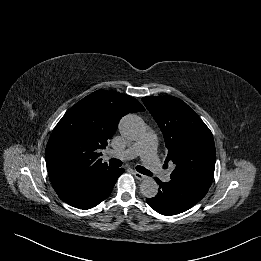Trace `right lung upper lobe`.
Returning <instances> with one entry per match:
<instances>
[{
	"instance_id": "right-lung-upper-lobe-1",
	"label": "right lung upper lobe",
	"mask_w": 261,
	"mask_h": 261,
	"mask_svg": "<svg viewBox=\"0 0 261 261\" xmlns=\"http://www.w3.org/2000/svg\"><path fill=\"white\" fill-rule=\"evenodd\" d=\"M145 111L133 97L97 90L71 107L55 126L47 147L46 166L56 192L91 179L109 169L99 159L128 113Z\"/></svg>"
}]
</instances>
